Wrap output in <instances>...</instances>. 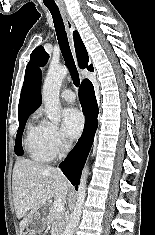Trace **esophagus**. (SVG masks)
<instances>
[{"label":"esophagus","instance_id":"34e87169","mask_svg":"<svg viewBox=\"0 0 155 235\" xmlns=\"http://www.w3.org/2000/svg\"><path fill=\"white\" fill-rule=\"evenodd\" d=\"M61 14L66 26V30L68 33V38H69V42H70V47L72 50V53L75 57V49H74V43H73V31L75 30V26L73 24V21L71 20L69 14L67 13V11L65 9H61Z\"/></svg>","mask_w":155,"mask_h":235}]
</instances>
